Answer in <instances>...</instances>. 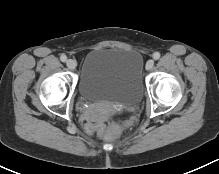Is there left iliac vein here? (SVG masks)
Masks as SVG:
<instances>
[{
  "mask_svg": "<svg viewBox=\"0 0 219 174\" xmlns=\"http://www.w3.org/2000/svg\"><path fill=\"white\" fill-rule=\"evenodd\" d=\"M153 66H154V61L152 59H150L146 62L145 68H146V70H151L153 68Z\"/></svg>",
  "mask_w": 219,
  "mask_h": 174,
  "instance_id": "left-iliac-vein-1",
  "label": "left iliac vein"
}]
</instances>
